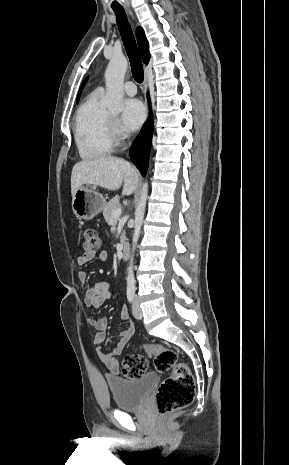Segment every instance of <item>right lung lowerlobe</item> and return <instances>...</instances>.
<instances>
[{"label":"right lung lower lobe","mask_w":289,"mask_h":465,"mask_svg":"<svg viewBox=\"0 0 289 465\" xmlns=\"http://www.w3.org/2000/svg\"><path fill=\"white\" fill-rule=\"evenodd\" d=\"M152 134L153 124L152 117L150 116L130 150L131 160L140 170L142 176H145L147 171L149 153L152 143Z\"/></svg>","instance_id":"obj_1"}]
</instances>
